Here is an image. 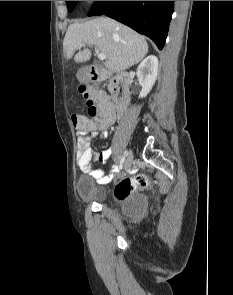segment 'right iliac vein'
Instances as JSON below:
<instances>
[{
    "instance_id": "1",
    "label": "right iliac vein",
    "mask_w": 233,
    "mask_h": 295,
    "mask_svg": "<svg viewBox=\"0 0 233 295\" xmlns=\"http://www.w3.org/2000/svg\"><path fill=\"white\" fill-rule=\"evenodd\" d=\"M133 158H134L133 153L130 151L125 162V168H129L131 166L133 162Z\"/></svg>"
}]
</instances>
